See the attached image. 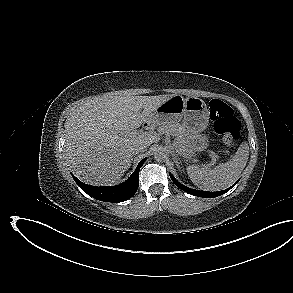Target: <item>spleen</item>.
Instances as JSON below:
<instances>
[{"label": "spleen", "mask_w": 293, "mask_h": 293, "mask_svg": "<svg viewBox=\"0 0 293 293\" xmlns=\"http://www.w3.org/2000/svg\"><path fill=\"white\" fill-rule=\"evenodd\" d=\"M249 158L248 143L243 142L235 155L227 161L210 168L208 165H190L187 173L198 188L219 191L230 187L245 168Z\"/></svg>", "instance_id": "obj_1"}]
</instances>
